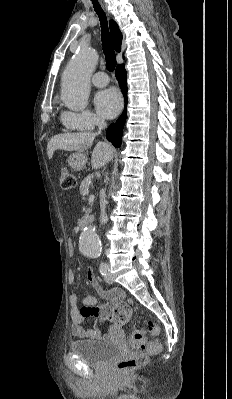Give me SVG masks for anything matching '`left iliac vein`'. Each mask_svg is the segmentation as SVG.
Instances as JSON below:
<instances>
[{"instance_id": "obj_1", "label": "left iliac vein", "mask_w": 232, "mask_h": 399, "mask_svg": "<svg viewBox=\"0 0 232 399\" xmlns=\"http://www.w3.org/2000/svg\"><path fill=\"white\" fill-rule=\"evenodd\" d=\"M103 280L106 282V283H112L113 282V279H112V274H109V276L108 277H103Z\"/></svg>"}]
</instances>
